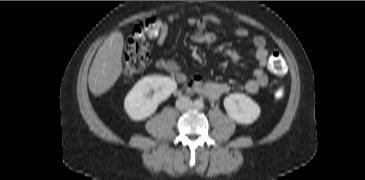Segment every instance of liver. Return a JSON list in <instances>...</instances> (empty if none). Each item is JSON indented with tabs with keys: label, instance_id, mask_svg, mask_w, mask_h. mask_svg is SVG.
I'll list each match as a JSON object with an SVG mask.
<instances>
[{
	"label": "liver",
	"instance_id": "liver-1",
	"mask_svg": "<svg viewBox=\"0 0 365 180\" xmlns=\"http://www.w3.org/2000/svg\"><path fill=\"white\" fill-rule=\"evenodd\" d=\"M123 47V34L117 31L97 51L88 76L89 89L95 96L107 92L121 76Z\"/></svg>",
	"mask_w": 365,
	"mask_h": 180
}]
</instances>
